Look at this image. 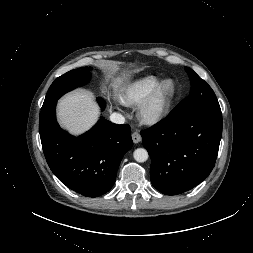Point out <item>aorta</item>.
<instances>
[{
	"label": "aorta",
	"mask_w": 253,
	"mask_h": 253,
	"mask_svg": "<svg viewBox=\"0 0 253 253\" xmlns=\"http://www.w3.org/2000/svg\"><path fill=\"white\" fill-rule=\"evenodd\" d=\"M134 159L137 162H145L148 159V152L144 148H137L133 153Z\"/></svg>",
	"instance_id": "762f6f07"
}]
</instances>
